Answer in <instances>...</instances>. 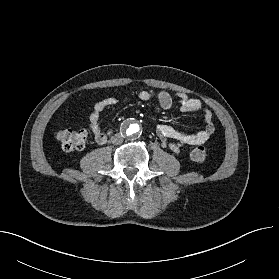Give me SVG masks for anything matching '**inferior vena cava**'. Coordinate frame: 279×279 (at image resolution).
<instances>
[{"label":"inferior vena cava","instance_id":"1","mask_svg":"<svg viewBox=\"0 0 279 279\" xmlns=\"http://www.w3.org/2000/svg\"><path fill=\"white\" fill-rule=\"evenodd\" d=\"M111 142L113 144H121L123 142V136L121 134H115L111 137Z\"/></svg>","mask_w":279,"mask_h":279}]
</instances>
